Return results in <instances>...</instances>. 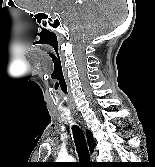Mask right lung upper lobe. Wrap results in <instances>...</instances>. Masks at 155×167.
Segmentation results:
<instances>
[{"instance_id":"cb5924a9","label":"right lung upper lobe","mask_w":155,"mask_h":167,"mask_svg":"<svg viewBox=\"0 0 155 167\" xmlns=\"http://www.w3.org/2000/svg\"><path fill=\"white\" fill-rule=\"evenodd\" d=\"M87 140H88V144H89V148H90V152L92 153L93 152V149L95 147V140L93 138V134L91 133V131L87 130ZM48 166L51 164H47Z\"/></svg>"}]
</instances>
